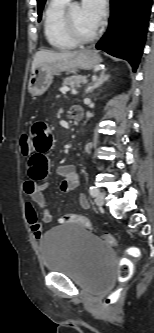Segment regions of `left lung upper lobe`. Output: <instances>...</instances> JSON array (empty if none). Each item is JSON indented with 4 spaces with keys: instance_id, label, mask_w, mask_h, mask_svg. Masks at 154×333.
Instances as JSON below:
<instances>
[{
    "instance_id": "1",
    "label": "left lung upper lobe",
    "mask_w": 154,
    "mask_h": 333,
    "mask_svg": "<svg viewBox=\"0 0 154 333\" xmlns=\"http://www.w3.org/2000/svg\"><path fill=\"white\" fill-rule=\"evenodd\" d=\"M45 2H46V0H37L39 21H40L41 16H42V9L44 7Z\"/></svg>"
}]
</instances>
